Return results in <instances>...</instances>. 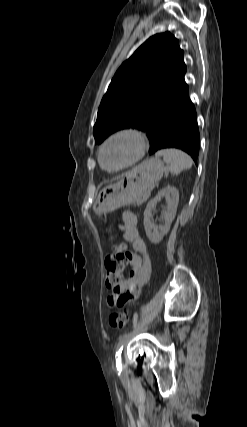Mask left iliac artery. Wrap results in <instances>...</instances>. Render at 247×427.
Returning a JSON list of instances; mask_svg holds the SVG:
<instances>
[{
  "mask_svg": "<svg viewBox=\"0 0 247 427\" xmlns=\"http://www.w3.org/2000/svg\"><path fill=\"white\" fill-rule=\"evenodd\" d=\"M130 334L131 333H126L125 335H123L120 338V340L118 342L117 349H116V356H115L116 357V366H117V369L121 368V353H122V350H123V345H124L125 341L127 340V338L129 337Z\"/></svg>",
  "mask_w": 247,
  "mask_h": 427,
  "instance_id": "obj_1",
  "label": "left iliac artery"
}]
</instances>
